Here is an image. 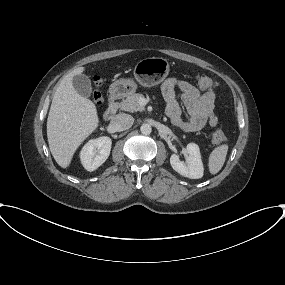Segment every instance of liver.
I'll list each match as a JSON object with an SVG mask.
<instances>
[{
  "instance_id": "liver-1",
  "label": "liver",
  "mask_w": 285,
  "mask_h": 285,
  "mask_svg": "<svg viewBox=\"0 0 285 285\" xmlns=\"http://www.w3.org/2000/svg\"><path fill=\"white\" fill-rule=\"evenodd\" d=\"M78 67L63 77L57 87L47 119V137L51 154L62 168H67L80 144L97 128L99 118L95 104L80 95L73 77Z\"/></svg>"
}]
</instances>
